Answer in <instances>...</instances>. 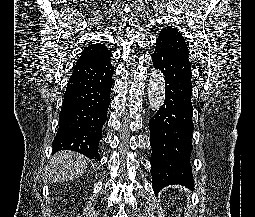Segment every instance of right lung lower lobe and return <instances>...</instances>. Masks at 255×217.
<instances>
[{"mask_svg":"<svg viewBox=\"0 0 255 217\" xmlns=\"http://www.w3.org/2000/svg\"><path fill=\"white\" fill-rule=\"evenodd\" d=\"M113 71L110 59L75 65L64 94L53 152L72 150L101 160L98 145L110 105Z\"/></svg>","mask_w":255,"mask_h":217,"instance_id":"1","label":"right lung lower lobe"}]
</instances>
